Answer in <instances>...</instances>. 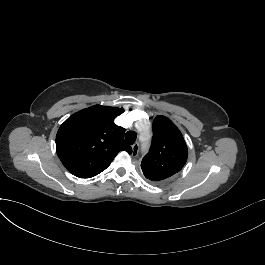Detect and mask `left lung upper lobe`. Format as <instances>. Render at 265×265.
Segmentation results:
<instances>
[{"label": "left lung upper lobe", "mask_w": 265, "mask_h": 265, "mask_svg": "<svg viewBox=\"0 0 265 265\" xmlns=\"http://www.w3.org/2000/svg\"><path fill=\"white\" fill-rule=\"evenodd\" d=\"M187 146L180 130L165 116L153 121V138L149 152L141 162L144 176L153 182H164L185 165Z\"/></svg>", "instance_id": "obj_1"}]
</instances>
